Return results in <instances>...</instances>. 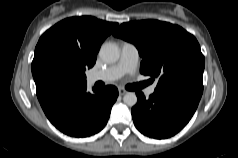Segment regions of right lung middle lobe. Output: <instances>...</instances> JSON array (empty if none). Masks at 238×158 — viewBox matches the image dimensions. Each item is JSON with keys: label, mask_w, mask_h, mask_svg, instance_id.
Segmentation results:
<instances>
[{"label": "right lung middle lobe", "mask_w": 238, "mask_h": 158, "mask_svg": "<svg viewBox=\"0 0 238 158\" xmlns=\"http://www.w3.org/2000/svg\"><path fill=\"white\" fill-rule=\"evenodd\" d=\"M85 69L70 52L55 44L44 45L32 62L34 80L52 79L70 84L86 83Z\"/></svg>", "instance_id": "obj_1"}]
</instances>
